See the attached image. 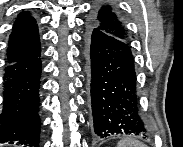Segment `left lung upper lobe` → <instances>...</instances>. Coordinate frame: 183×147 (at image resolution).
I'll return each instance as SVG.
<instances>
[{
	"mask_svg": "<svg viewBox=\"0 0 183 147\" xmlns=\"http://www.w3.org/2000/svg\"><path fill=\"white\" fill-rule=\"evenodd\" d=\"M90 26L120 40H127L124 25L110 5L103 6L99 10L98 15L90 20Z\"/></svg>",
	"mask_w": 183,
	"mask_h": 147,
	"instance_id": "1",
	"label": "left lung upper lobe"
}]
</instances>
